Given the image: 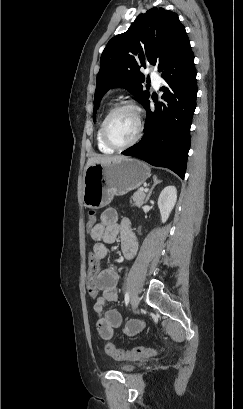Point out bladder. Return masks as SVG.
<instances>
[{
	"label": "bladder",
	"instance_id": "obj_1",
	"mask_svg": "<svg viewBox=\"0 0 243 409\" xmlns=\"http://www.w3.org/2000/svg\"><path fill=\"white\" fill-rule=\"evenodd\" d=\"M116 368L119 371L124 372V373H132L135 370L136 365L135 364H119L116 366Z\"/></svg>",
	"mask_w": 243,
	"mask_h": 409
}]
</instances>
